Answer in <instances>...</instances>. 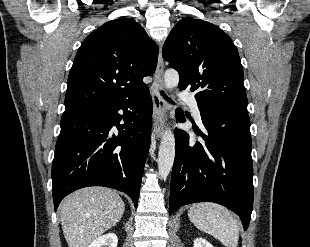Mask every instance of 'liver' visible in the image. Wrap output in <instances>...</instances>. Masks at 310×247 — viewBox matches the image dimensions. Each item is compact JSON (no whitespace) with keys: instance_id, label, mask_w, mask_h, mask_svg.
Here are the masks:
<instances>
[{"instance_id":"6515ba94","label":"liver","mask_w":310,"mask_h":247,"mask_svg":"<svg viewBox=\"0 0 310 247\" xmlns=\"http://www.w3.org/2000/svg\"><path fill=\"white\" fill-rule=\"evenodd\" d=\"M125 210L119 194L109 188L88 187L67 196L60 206L62 230L69 247H88L115 226Z\"/></svg>"}]
</instances>
